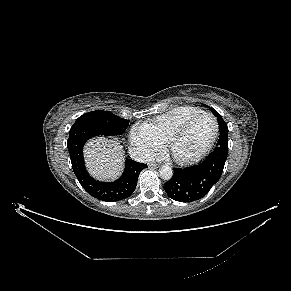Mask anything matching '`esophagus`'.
Segmentation results:
<instances>
[{"label": "esophagus", "mask_w": 291, "mask_h": 291, "mask_svg": "<svg viewBox=\"0 0 291 291\" xmlns=\"http://www.w3.org/2000/svg\"><path fill=\"white\" fill-rule=\"evenodd\" d=\"M148 166H149V168H158L159 164L151 162V163L148 164Z\"/></svg>", "instance_id": "obj_1"}]
</instances>
